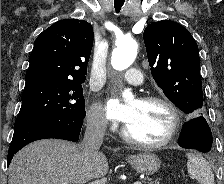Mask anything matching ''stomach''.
<instances>
[{
	"label": "stomach",
	"mask_w": 224,
	"mask_h": 184,
	"mask_svg": "<svg viewBox=\"0 0 224 184\" xmlns=\"http://www.w3.org/2000/svg\"><path fill=\"white\" fill-rule=\"evenodd\" d=\"M128 163L138 172L144 175H153L161 167V161L157 155L143 152L127 157Z\"/></svg>",
	"instance_id": "0dacf381"
}]
</instances>
